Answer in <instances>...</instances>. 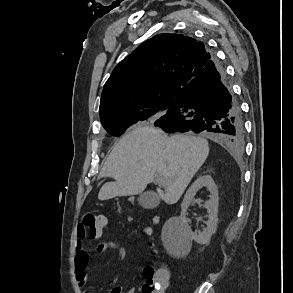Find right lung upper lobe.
I'll list each match as a JSON object with an SVG mask.
<instances>
[{
    "instance_id": "cb5924a9",
    "label": "right lung upper lobe",
    "mask_w": 293,
    "mask_h": 293,
    "mask_svg": "<svg viewBox=\"0 0 293 293\" xmlns=\"http://www.w3.org/2000/svg\"><path fill=\"white\" fill-rule=\"evenodd\" d=\"M212 59L203 43L187 36L163 33L148 39L115 67L105 83L100 119L176 98Z\"/></svg>"
}]
</instances>
